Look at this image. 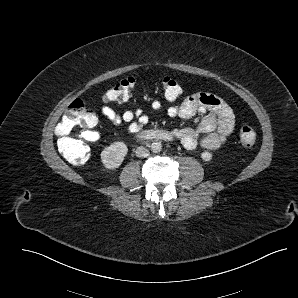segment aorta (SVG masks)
I'll list each match as a JSON object with an SVG mask.
<instances>
[{
    "label": "aorta",
    "instance_id": "1",
    "mask_svg": "<svg viewBox=\"0 0 298 298\" xmlns=\"http://www.w3.org/2000/svg\"><path fill=\"white\" fill-rule=\"evenodd\" d=\"M162 149V144L160 142H153L151 144V151L154 153L160 152Z\"/></svg>",
    "mask_w": 298,
    "mask_h": 298
}]
</instances>
